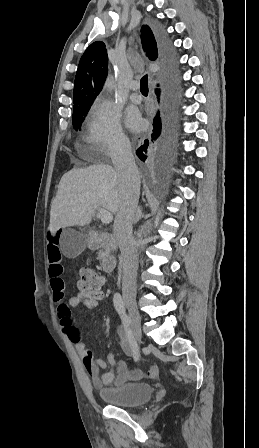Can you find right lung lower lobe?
<instances>
[{
    "label": "right lung lower lobe",
    "instance_id": "98d812e1",
    "mask_svg": "<svg viewBox=\"0 0 259 448\" xmlns=\"http://www.w3.org/2000/svg\"><path fill=\"white\" fill-rule=\"evenodd\" d=\"M156 37L159 46V59L162 61L166 78L164 82V99L162 104V114L158 111L153 120V130L151 141H157L158 145L164 153L166 160H170L174 156L177 140V121H178V99L179 87L176 64L173 51L168 36L160 27L156 29ZM159 97V90L156 89ZM148 139L144 145L137 149V156L144 161L148 155Z\"/></svg>",
    "mask_w": 259,
    "mask_h": 448
}]
</instances>
